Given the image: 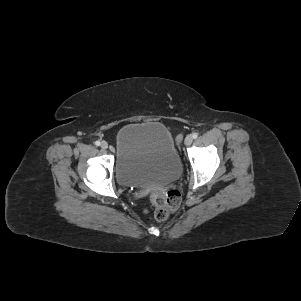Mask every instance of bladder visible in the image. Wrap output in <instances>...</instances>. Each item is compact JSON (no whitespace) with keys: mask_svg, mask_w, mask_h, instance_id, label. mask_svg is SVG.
<instances>
[{"mask_svg":"<svg viewBox=\"0 0 301 301\" xmlns=\"http://www.w3.org/2000/svg\"><path fill=\"white\" fill-rule=\"evenodd\" d=\"M181 161L169 130L161 123H130L116 136L115 174L127 187L164 186L177 180Z\"/></svg>","mask_w":301,"mask_h":301,"instance_id":"obj_1","label":"bladder"}]
</instances>
